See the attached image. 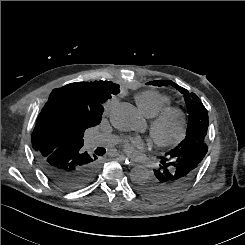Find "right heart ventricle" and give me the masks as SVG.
<instances>
[{
  "label": "right heart ventricle",
  "mask_w": 245,
  "mask_h": 245,
  "mask_svg": "<svg viewBox=\"0 0 245 245\" xmlns=\"http://www.w3.org/2000/svg\"><path fill=\"white\" fill-rule=\"evenodd\" d=\"M141 113L147 118H153L171 104L169 96L155 90H147L135 97Z\"/></svg>",
  "instance_id": "1"
}]
</instances>
